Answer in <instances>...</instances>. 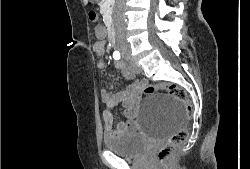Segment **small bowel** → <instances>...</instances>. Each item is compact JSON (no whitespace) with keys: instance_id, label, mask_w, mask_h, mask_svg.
Listing matches in <instances>:
<instances>
[{"instance_id":"obj_1","label":"small bowel","mask_w":250,"mask_h":169,"mask_svg":"<svg viewBox=\"0 0 250 169\" xmlns=\"http://www.w3.org/2000/svg\"><path fill=\"white\" fill-rule=\"evenodd\" d=\"M95 32L97 40L94 44V51L97 56L101 57L97 61V67L103 69L106 65L102 58L105 54V32L101 27L96 29ZM115 69L122 77L133 81L126 89L118 92H113L110 89L102 91V97L106 105L103 115L106 134L112 135L116 132L135 133L139 126L137 116L140 111L141 88L146 85V81L134 80L133 73L119 62L115 63ZM118 105H121L124 109L125 121L115 124L113 111Z\"/></svg>"}]
</instances>
